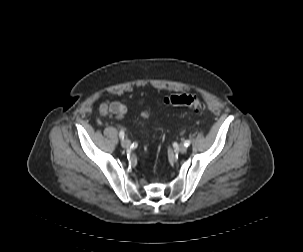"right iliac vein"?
<instances>
[{
	"instance_id": "63e3f726",
	"label": "right iliac vein",
	"mask_w": 303,
	"mask_h": 252,
	"mask_svg": "<svg viewBox=\"0 0 303 252\" xmlns=\"http://www.w3.org/2000/svg\"><path fill=\"white\" fill-rule=\"evenodd\" d=\"M121 145L123 148H129L131 146V142L128 139H122L121 140Z\"/></svg>"
}]
</instances>
